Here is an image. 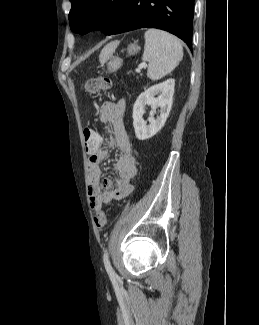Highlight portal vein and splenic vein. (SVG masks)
<instances>
[{
  "instance_id": "obj_1",
  "label": "portal vein and splenic vein",
  "mask_w": 259,
  "mask_h": 325,
  "mask_svg": "<svg viewBox=\"0 0 259 325\" xmlns=\"http://www.w3.org/2000/svg\"><path fill=\"white\" fill-rule=\"evenodd\" d=\"M146 67H147V65H146L145 63H142V64H140V65L138 66L137 71H140L141 69L146 68Z\"/></svg>"
}]
</instances>
